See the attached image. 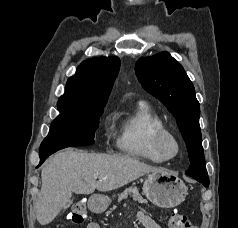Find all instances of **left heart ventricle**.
<instances>
[{"label":"left heart ventricle","mask_w":238,"mask_h":228,"mask_svg":"<svg viewBox=\"0 0 238 228\" xmlns=\"http://www.w3.org/2000/svg\"><path fill=\"white\" fill-rule=\"evenodd\" d=\"M167 151H168L169 153H173V151H174V147H173V145H171L170 143L167 144Z\"/></svg>","instance_id":"left-heart-ventricle-1"}]
</instances>
